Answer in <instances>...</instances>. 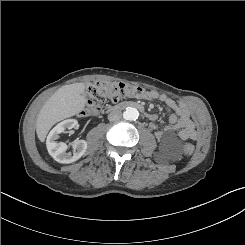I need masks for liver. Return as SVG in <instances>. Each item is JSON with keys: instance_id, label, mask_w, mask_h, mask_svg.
<instances>
[{"instance_id": "obj_1", "label": "liver", "mask_w": 245, "mask_h": 245, "mask_svg": "<svg viewBox=\"0 0 245 245\" xmlns=\"http://www.w3.org/2000/svg\"><path fill=\"white\" fill-rule=\"evenodd\" d=\"M85 84L73 83L59 88L43 105L36 121V133L41 142L57 122L74 116L85 106Z\"/></svg>"}]
</instances>
